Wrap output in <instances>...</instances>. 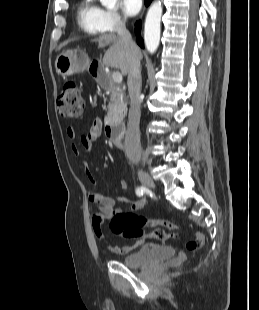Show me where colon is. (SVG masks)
Instances as JSON below:
<instances>
[{
	"instance_id": "5ec220e1",
	"label": "colon",
	"mask_w": 259,
	"mask_h": 310,
	"mask_svg": "<svg viewBox=\"0 0 259 310\" xmlns=\"http://www.w3.org/2000/svg\"><path fill=\"white\" fill-rule=\"evenodd\" d=\"M83 110L84 101L79 85L72 81L65 83L57 101L58 113L66 119H77L82 115ZM146 225H154L157 228L146 231L144 229ZM178 229L179 225L175 222L150 219L131 211L117 212L110 220L111 232L124 239L156 238L167 241L178 237ZM202 244L203 237L197 233L188 240L186 248L188 251H196Z\"/></svg>"
}]
</instances>
